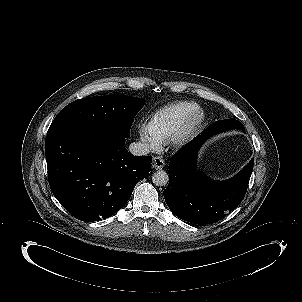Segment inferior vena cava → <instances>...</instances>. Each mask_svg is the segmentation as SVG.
<instances>
[{
  "label": "inferior vena cava",
  "mask_w": 302,
  "mask_h": 302,
  "mask_svg": "<svg viewBox=\"0 0 302 302\" xmlns=\"http://www.w3.org/2000/svg\"><path fill=\"white\" fill-rule=\"evenodd\" d=\"M129 152L135 156H144L149 153L148 147L141 142H133L129 145Z\"/></svg>",
  "instance_id": "obj_1"
}]
</instances>
